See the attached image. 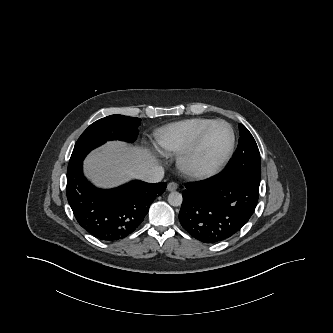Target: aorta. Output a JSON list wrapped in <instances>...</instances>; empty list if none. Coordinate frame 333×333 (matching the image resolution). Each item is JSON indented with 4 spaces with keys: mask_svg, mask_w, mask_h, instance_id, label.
Wrapping results in <instances>:
<instances>
[{
    "mask_svg": "<svg viewBox=\"0 0 333 333\" xmlns=\"http://www.w3.org/2000/svg\"><path fill=\"white\" fill-rule=\"evenodd\" d=\"M183 198L179 192H171L168 196V203L172 206H180Z\"/></svg>",
    "mask_w": 333,
    "mask_h": 333,
    "instance_id": "762f6f07",
    "label": "aorta"
}]
</instances>
